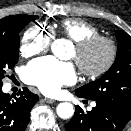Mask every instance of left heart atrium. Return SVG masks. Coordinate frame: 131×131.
Returning <instances> with one entry per match:
<instances>
[{
  "label": "left heart atrium",
  "mask_w": 131,
  "mask_h": 131,
  "mask_svg": "<svg viewBox=\"0 0 131 131\" xmlns=\"http://www.w3.org/2000/svg\"><path fill=\"white\" fill-rule=\"evenodd\" d=\"M24 77L47 95L58 93L63 85L73 84L77 79L71 63L60 62L53 57L32 61L27 66Z\"/></svg>",
  "instance_id": "left-heart-atrium-1"
}]
</instances>
